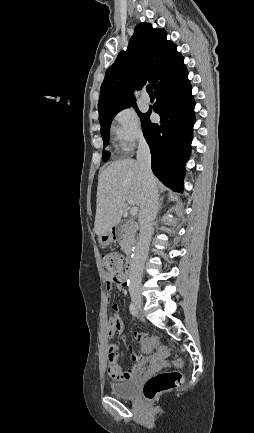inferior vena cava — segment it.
<instances>
[{
    "instance_id": "obj_1",
    "label": "inferior vena cava",
    "mask_w": 254,
    "mask_h": 433,
    "mask_svg": "<svg viewBox=\"0 0 254 433\" xmlns=\"http://www.w3.org/2000/svg\"><path fill=\"white\" fill-rule=\"evenodd\" d=\"M137 160L144 181V198L139 213V240L130 264V290L139 288L141 285L144 263L153 234L152 224L158 211V194L155 177L151 170V154L144 138L139 139Z\"/></svg>"
}]
</instances>
